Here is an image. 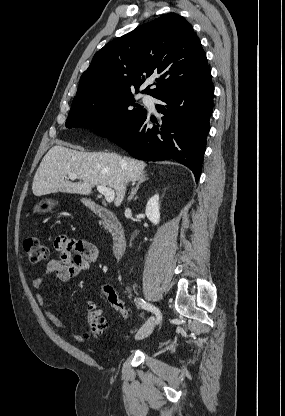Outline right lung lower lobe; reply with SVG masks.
<instances>
[{"instance_id": "1", "label": "right lung lower lobe", "mask_w": 285, "mask_h": 416, "mask_svg": "<svg viewBox=\"0 0 285 416\" xmlns=\"http://www.w3.org/2000/svg\"><path fill=\"white\" fill-rule=\"evenodd\" d=\"M214 86L211 75L177 88L159 98L156 105L162 124L148 128L147 115L127 130L109 139L131 156L147 161L173 159L187 166L199 180L209 119L213 110Z\"/></svg>"}]
</instances>
